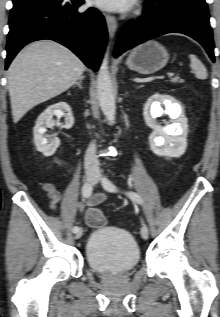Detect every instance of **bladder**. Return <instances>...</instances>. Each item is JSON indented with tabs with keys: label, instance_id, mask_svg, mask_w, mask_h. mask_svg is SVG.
Instances as JSON below:
<instances>
[{
	"label": "bladder",
	"instance_id": "31cf9c89",
	"mask_svg": "<svg viewBox=\"0 0 220 317\" xmlns=\"http://www.w3.org/2000/svg\"><path fill=\"white\" fill-rule=\"evenodd\" d=\"M85 256L88 267L95 272L122 274L137 267L141 253L135 238L127 230L102 227L88 236Z\"/></svg>",
	"mask_w": 220,
	"mask_h": 317
}]
</instances>
